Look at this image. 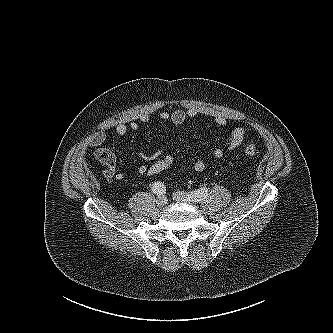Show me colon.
Returning <instances> with one entry per match:
<instances>
[{
    "label": "colon",
    "mask_w": 333,
    "mask_h": 333,
    "mask_svg": "<svg viewBox=\"0 0 333 333\" xmlns=\"http://www.w3.org/2000/svg\"><path fill=\"white\" fill-rule=\"evenodd\" d=\"M244 152L250 157H254L257 154V150L253 144H247L244 147ZM173 163L174 157L172 155H161L147 167L146 174L151 177L159 176L167 171Z\"/></svg>",
    "instance_id": "5ec220e1"
}]
</instances>
